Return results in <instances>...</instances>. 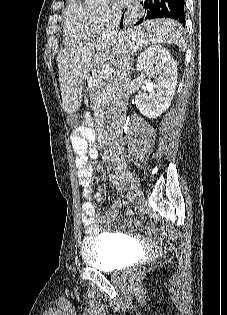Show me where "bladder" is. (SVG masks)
<instances>
[{
  "instance_id": "bladder-1",
  "label": "bladder",
  "mask_w": 227,
  "mask_h": 315,
  "mask_svg": "<svg viewBox=\"0 0 227 315\" xmlns=\"http://www.w3.org/2000/svg\"><path fill=\"white\" fill-rule=\"evenodd\" d=\"M130 250L122 238L114 235L88 236L81 244L84 263L102 271L123 267Z\"/></svg>"
}]
</instances>
